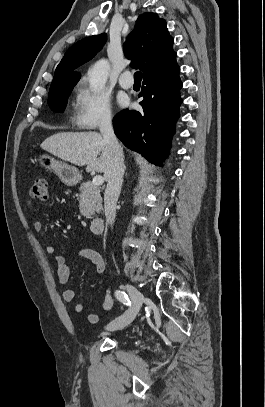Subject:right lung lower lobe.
Listing matches in <instances>:
<instances>
[{"instance_id":"right-lung-lower-lobe-1","label":"right lung lower lobe","mask_w":265,"mask_h":407,"mask_svg":"<svg viewBox=\"0 0 265 407\" xmlns=\"http://www.w3.org/2000/svg\"><path fill=\"white\" fill-rule=\"evenodd\" d=\"M179 72L176 53L160 61L143 75L146 87L139 95L144 97L140 102L143 111L126 109L113 119L115 134L123 144L155 164L165 156L179 118L178 109L182 103Z\"/></svg>"}]
</instances>
